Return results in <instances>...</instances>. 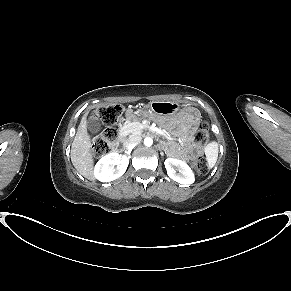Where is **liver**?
I'll return each instance as SVG.
<instances>
[{"label":"liver","instance_id":"liver-1","mask_svg":"<svg viewBox=\"0 0 291 291\" xmlns=\"http://www.w3.org/2000/svg\"><path fill=\"white\" fill-rule=\"evenodd\" d=\"M71 161L75 169L90 181L94 180L91 139L87 132V121L84 115L71 146Z\"/></svg>","mask_w":291,"mask_h":291}]
</instances>
